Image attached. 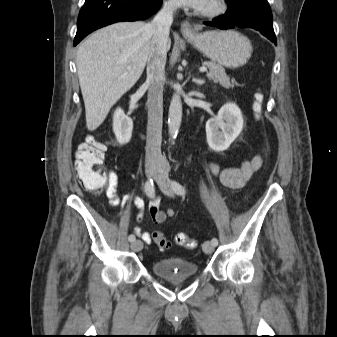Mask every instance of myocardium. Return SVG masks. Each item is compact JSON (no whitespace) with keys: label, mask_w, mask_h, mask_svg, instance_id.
Segmentation results:
<instances>
[{"label":"myocardium","mask_w":337,"mask_h":337,"mask_svg":"<svg viewBox=\"0 0 337 337\" xmlns=\"http://www.w3.org/2000/svg\"><path fill=\"white\" fill-rule=\"evenodd\" d=\"M228 10V3L226 0H210L208 7L202 9L200 14L208 18H217L224 15Z\"/></svg>","instance_id":"obj_1"}]
</instances>
